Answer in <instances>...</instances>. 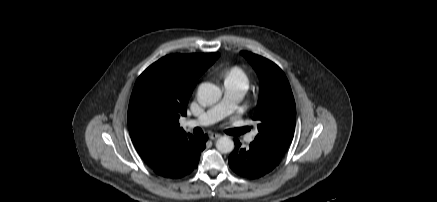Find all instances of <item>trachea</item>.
I'll list each match as a JSON object with an SVG mask.
<instances>
[{
    "label": "trachea",
    "instance_id": "3493384b",
    "mask_svg": "<svg viewBox=\"0 0 437 202\" xmlns=\"http://www.w3.org/2000/svg\"><path fill=\"white\" fill-rule=\"evenodd\" d=\"M245 131H246L245 129H241L239 133H242V132H245ZM194 133L196 135H199V134H202L203 131L200 128L197 127V128L194 129Z\"/></svg>",
    "mask_w": 437,
    "mask_h": 202
}]
</instances>
